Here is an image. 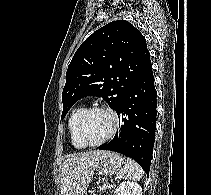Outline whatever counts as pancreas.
Wrapping results in <instances>:
<instances>
[{
  "label": "pancreas",
  "instance_id": "cf45deb5",
  "mask_svg": "<svg viewBox=\"0 0 211 195\" xmlns=\"http://www.w3.org/2000/svg\"><path fill=\"white\" fill-rule=\"evenodd\" d=\"M108 188H110V187H109V184H106V183L103 184L102 186H99V187H98V189H99L100 191L106 190V189H108Z\"/></svg>",
  "mask_w": 211,
  "mask_h": 195
}]
</instances>
